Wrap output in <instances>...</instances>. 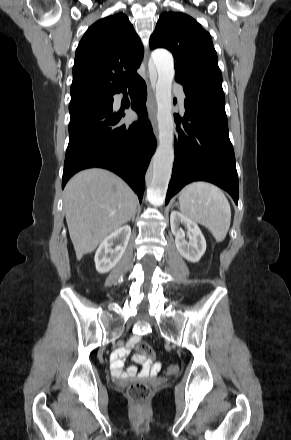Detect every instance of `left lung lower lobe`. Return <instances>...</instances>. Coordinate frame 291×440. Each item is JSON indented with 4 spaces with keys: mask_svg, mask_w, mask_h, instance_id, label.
<instances>
[{
    "mask_svg": "<svg viewBox=\"0 0 291 440\" xmlns=\"http://www.w3.org/2000/svg\"><path fill=\"white\" fill-rule=\"evenodd\" d=\"M184 92L183 127H177L175 160L165 203L186 184L202 180L223 188L238 204V176L225 100L186 89ZM175 119L180 122L178 117Z\"/></svg>",
    "mask_w": 291,
    "mask_h": 440,
    "instance_id": "left-lung-lower-lobe-1",
    "label": "left lung lower lobe"
}]
</instances>
